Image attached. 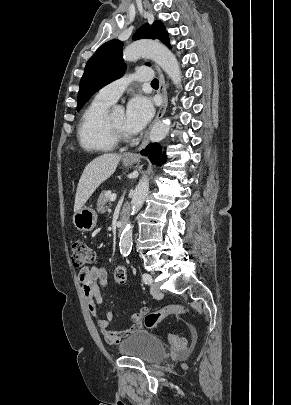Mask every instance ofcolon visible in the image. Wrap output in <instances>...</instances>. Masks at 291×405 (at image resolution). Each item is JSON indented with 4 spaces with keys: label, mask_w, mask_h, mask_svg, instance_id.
<instances>
[{
    "label": "colon",
    "mask_w": 291,
    "mask_h": 405,
    "mask_svg": "<svg viewBox=\"0 0 291 405\" xmlns=\"http://www.w3.org/2000/svg\"><path fill=\"white\" fill-rule=\"evenodd\" d=\"M95 252L84 241H75L72 244V264L74 267H86L95 262ZM113 277L115 283L123 285L127 280L126 268L124 266H117L114 269ZM188 309L182 305H169L158 311L148 313L144 318V324L147 328L153 329L165 317L175 314H186ZM168 340L171 346L175 349L181 350L186 347V340L178 335L169 334Z\"/></svg>",
    "instance_id": "1"
}]
</instances>
